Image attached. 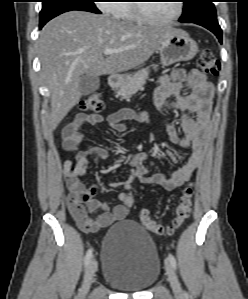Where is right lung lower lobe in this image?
<instances>
[{"instance_id": "obj_1", "label": "right lung lower lobe", "mask_w": 248, "mask_h": 299, "mask_svg": "<svg viewBox=\"0 0 248 299\" xmlns=\"http://www.w3.org/2000/svg\"><path fill=\"white\" fill-rule=\"evenodd\" d=\"M46 22H43V23H40V29L44 26V24H45Z\"/></svg>"}]
</instances>
